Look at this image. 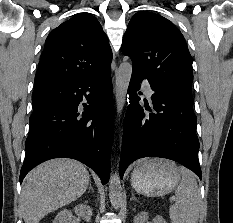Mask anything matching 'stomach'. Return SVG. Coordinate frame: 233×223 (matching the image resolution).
Wrapping results in <instances>:
<instances>
[{"instance_id":"stomach-1","label":"stomach","mask_w":233,"mask_h":223,"mask_svg":"<svg viewBox=\"0 0 233 223\" xmlns=\"http://www.w3.org/2000/svg\"><path fill=\"white\" fill-rule=\"evenodd\" d=\"M181 179L180 169L170 159H142L134 167L131 185L137 193L147 197H161L175 189Z\"/></svg>"}]
</instances>
